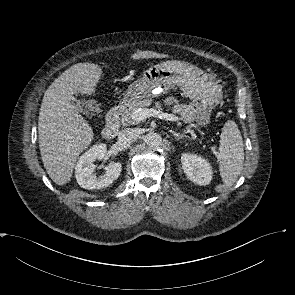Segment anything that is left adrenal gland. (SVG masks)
Returning a JSON list of instances; mask_svg holds the SVG:
<instances>
[{"mask_svg":"<svg viewBox=\"0 0 295 295\" xmlns=\"http://www.w3.org/2000/svg\"><path fill=\"white\" fill-rule=\"evenodd\" d=\"M170 133H171V134H172L177 140H180V139H182V138H189V139H190L189 136L184 135V134H180V133H178V132H176V131H174V130H170Z\"/></svg>","mask_w":295,"mask_h":295,"instance_id":"a2214340","label":"left adrenal gland"}]
</instances>
